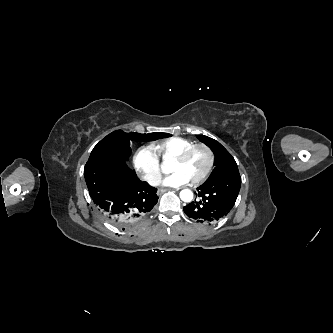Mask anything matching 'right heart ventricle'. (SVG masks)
I'll use <instances>...</instances> for the list:
<instances>
[{
	"label": "right heart ventricle",
	"instance_id": "e07e8e85",
	"mask_svg": "<svg viewBox=\"0 0 333 333\" xmlns=\"http://www.w3.org/2000/svg\"><path fill=\"white\" fill-rule=\"evenodd\" d=\"M193 144L194 142L182 137H169L153 143L151 148L163 160H173L179 153Z\"/></svg>",
	"mask_w": 333,
	"mask_h": 333
}]
</instances>
